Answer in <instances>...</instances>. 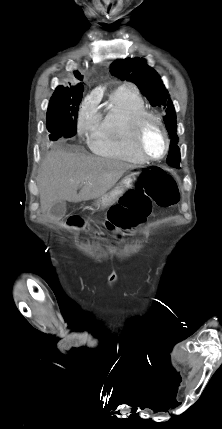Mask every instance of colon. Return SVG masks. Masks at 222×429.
<instances>
[{
    "mask_svg": "<svg viewBox=\"0 0 222 429\" xmlns=\"http://www.w3.org/2000/svg\"><path fill=\"white\" fill-rule=\"evenodd\" d=\"M178 201L179 190L172 175L158 166H143L135 186L109 209L104 226L109 231L136 227L150 215L153 205L168 208ZM70 223L80 225L81 220L73 217Z\"/></svg>",
    "mask_w": 222,
    "mask_h": 429,
    "instance_id": "5ec220e1",
    "label": "colon"
}]
</instances>
